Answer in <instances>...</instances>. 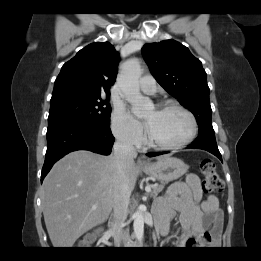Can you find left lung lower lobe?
Listing matches in <instances>:
<instances>
[{
  "label": "left lung lower lobe",
  "instance_id": "obj_1",
  "mask_svg": "<svg viewBox=\"0 0 261 261\" xmlns=\"http://www.w3.org/2000/svg\"><path fill=\"white\" fill-rule=\"evenodd\" d=\"M187 148L206 150V151L212 153L213 155H215L216 157H218L222 161L221 154L217 147L215 135L206 134V135L198 136L197 139L192 144L187 146ZM166 153H168V152L147 153V156L154 157V156H158V155H162V154H166Z\"/></svg>",
  "mask_w": 261,
  "mask_h": 261
}]
</instances>
